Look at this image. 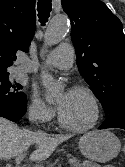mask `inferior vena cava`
I'll return each mask as SVG.
<instances>
[{
  "label": "inferior vena cava",
  "instance_id": "inferior-vena-cava-1",
  "mask_svg": "<svg viewBox=\"0 0 125 167\" xmlns=\"http://www.w3.org/2000/svg\"><path fill=\"white\" fill-rule=\"evenodd\" d=\"M36 119H37V114H36V112H35V111H31V112L29 113V120H30L31 122H34V121H36ZM39 133H42V132H39Z\"/></svg>",
  "mask_w": 125,
  "mask_h": 167
}]
</instances>
